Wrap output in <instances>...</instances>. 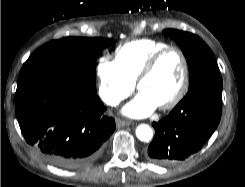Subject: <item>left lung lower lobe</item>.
<instances>
[{
	"label": "left lung lower lobe",
	"mask_w": 245,
	"mask_h": 187,
	"mask_svg": "<svg viewBox=\"0 0 245 187\" xmlns=\"http://www.w3.org/2000/svg\"><path fill=\"white\" fill-rule=\"evenodd\" d=\"M222 79L206 80L189 89L170 114L153 122L155 136L148 160L161 165L187 159L202 148L221 118Z\"/></svg>",
	"instance_id": "obj_1"
}]
</instances>
